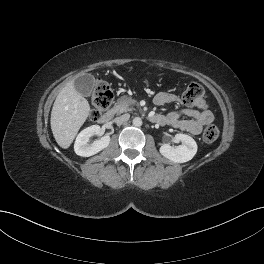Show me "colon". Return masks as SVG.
I'll use <instances>...</instances> for the list:
<instances>
[{"label": "colon", "instance_id": "obj_1", "mask_svg": "<svg viewBox=\"0 0 264 264\" xmlns=\"http://www.w3.org/2000/svg\"><path fill=\"white\" fill-rule=\"evenodd\" d=\"M114 100L111 87L102 79L96 81L92 95L91 119L97 120L108 109ZM182 101L184 104L196 108L206 106L204 89L197 83H190L182 88ZM219 136V130L215 125H209L204 129L203 140L207 143L214 142Z\"/></svg>", "mask_w": 264, "mask_h": 264}]
</instances>
